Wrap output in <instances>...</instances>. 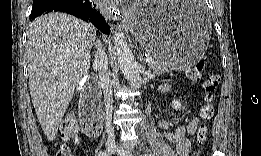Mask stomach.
<instances>
[{
    "label": "stomach",
    "instance_id": "stomach-1",
    "mask_svg": "<svg viewBox=\"0 0 261 156\" xmlns=\"http://www.w3.org/2000/svg\"><path fill=\"white\" fill-rule=\"evenodd\" d=\"M128 21L138 42L174 69L190 68L201 59L211 34L210 20L193 1L136 2Z\"/></svg>",
    "mask_w": 261,
    "mask_h": 156
}]
</instances>
